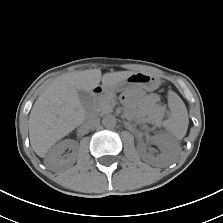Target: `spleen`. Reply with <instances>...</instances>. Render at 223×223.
Here are the masks:
<instances>
[{
    "instance_id": "obj_1",
    "label": "spleen",
    "mask_w": 223,
    "mask_h": 223,
    "mask_svg": "<svg viewBox=\"0 0 223 223\" xmlns=\"http://www.w3.org/2000/svg\"><path fill=\"white\" fill-rule=\"evenodd\" d=\"M169 106L172 111L169 119L170 130L178 138H182L188 128V113L181 98L174 92L169 95Z\"/></svg>"
}]
</instances>
